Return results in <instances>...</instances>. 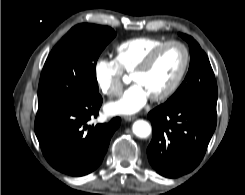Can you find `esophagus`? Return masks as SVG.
I'll use <instances>...</instances> for the list:
<instances>
[{
    "label": "esophagus",
    "instance_id": "obj_1",
    "mask_svg": "<svg viewBox=\"0 0 245 195\" xmlns=\"http://www.w3.org/2000/svg\"><path fill=\"white\" fill-rule=\"evenodd\" d=\"M124 119H125V121L130 122V121L135 120L136 119V116H125Z\"/></svg>",
    "mask_w": 245,
    "mask_h": 195
}]
</instances>
